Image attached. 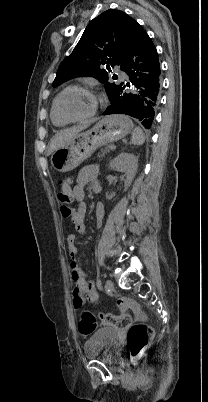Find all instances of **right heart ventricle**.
<instances>
[{
  "label": "right heart ventricle",
  "mask_w": 208,
  "mask_h": 402,
  "mask_svg": "<svg viewBox=\"0 0 208 402\" xmlns=\"http://www.w3.org/2000/svg\"><path fill=\"white\" fill-rule=\"evenodd\" d=\"M50 119L52 124L57 128H63L70 124V122L64 121L56 111L55 103L53 102L51 111H50Z\"/></svg>",
  "instance_id": "e07e8e85"
}]
</instances>
